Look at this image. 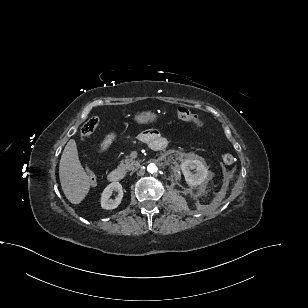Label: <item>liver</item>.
I'll return each instance as SVG.
<instances>
[{
	"label": "liver",
	"mask_w": 308,
	"mask_h": 308,
	"mask_svg": "<svg viewBox=\"0 0 308 308\" xmlns=\"http://www.w3.org/2000/svg\"><path fill=\"white\" fill-rule=\"evenodd\" d=\"M59 178L66 198L79 204L90 190V179L83 169L74 139L66 144L59 164Z\"/></svg>",
	"instance_id": "liver-1"
}]
</instances>
